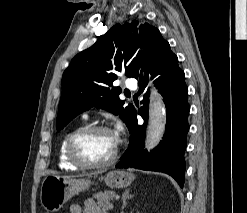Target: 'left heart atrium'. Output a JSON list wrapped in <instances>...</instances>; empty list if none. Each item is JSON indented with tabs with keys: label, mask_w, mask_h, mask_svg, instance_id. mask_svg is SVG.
I'll list each match as a JSON object with an SVG mask.
<instances>
[{
	"label": "left heart atrium",
	"mask_w": 247,
	"mask_h": 213,
	"mask_svg": "<svg viewBox=\"0 0 247 213\" xmlns=\"http://www.w3.org/2000/svg\"><path fill=\"white\" fill-rule=\"evenodd\" d=\"M112 134L114 135L115 140H116V142L118 143L119 138H120V134H121V126L118 125V126L116 127V129L112 132Z\"/></svg>",
	"instance_id": "left-heart-atrium-1"
}]
</instances>
